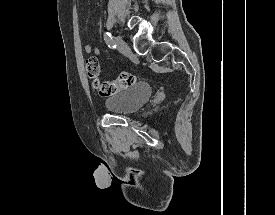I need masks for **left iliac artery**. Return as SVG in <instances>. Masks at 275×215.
Returning <instances> with one entry per match:
<instances>
[{"mask_svg": "<svg viewBox=\"0 0 275 215\" xmlns=\"http://www.w3.org/2000/svg\"><path fill=\"white\" fill-rule=\"evenodd\" d=\"M104 40H105V42H106V44L108 45L109 48H114V49L116 48V45L113 41L111 33L105 32L104 33Z\"/></svg>", "mask_w": 275, "mask_h": 215, "instance_id": "1", "label": "left iliac artery"}]
</instances>
